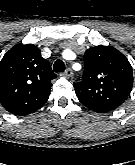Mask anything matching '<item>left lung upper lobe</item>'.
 Here are the masks:
<instances>
[{"instance_id":"5c2ea615","label":"left lung upper lobe","mask_w":135,"mask_h":165,"mask_svg":"<svg viewBox=\"0 0 135 165\" xmlns=\"http://www.w3.org/2000/svg\"><path fill=\"white\" fill-rule=\"evenodd\" d=\"M84 74L74 83L79 101L95 112H109L129 96L133 85L132 66L112 46H95L84 54Z\"/></svg>"}]
</instances>
